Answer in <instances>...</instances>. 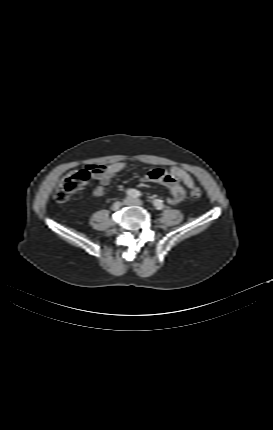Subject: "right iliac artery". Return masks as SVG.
<instances>
[{
  "label": "right iliac artery",
  "mask_w": 273,
  "mask_h": 430,
  "mask_svg": "<svg viewBox=\"0 0 273 430\" xmlns=\"http://www.w3.org/2000/svg\"><path fill=\"white\" fill-rule=\"evenodd\" d=\"M126 195L130 198H137L139 197L141 194L138 190L136 189H128L126 190Z\"/></svg>",
  "instance_id": "1"
}]
</instances>
